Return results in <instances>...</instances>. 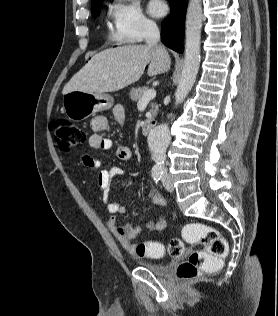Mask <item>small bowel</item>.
Listing matches in <instances>:
<instances>
[{
	"label": "small bowel",
	"instance_id": "c3829d8e",
	"mask_svg": "<svg viewBox=\"0 0 278 316\" xmlns=\"http://www.w3.org/2000/svg\"><path fill=\"white\" fill-rule=\"evenodd\" d=\"M115 121L122 126L125 122V110L121 104H116L113 108ZM92 134L89 137L88 144L95 150H109L113 147L111 139L104 137L103 132L110 130L111 125L107 117L99 115L90 122ZM116 157L121 161H128L132 158V150L126 145H119L116 148ZM82 163L91 169L98 170L97 183L102 191V199L106 205L110 216L107 219V227L118 243L130 254H137V245L134 242L139 234L146 230L149 232H160L166 227L165 216H160L155 220H149L146 223H126L118 225L116 214H123L126 207L117 201L110 199V188L112 180L124 174L123 168L119 166L105 167L104 162L91 154L81 156ZM149 203L152 206L166 207V201L155 191L149 192Z\"/></svg>",
	"mask_w": 278,
	"mask_h": 316
}]
</instances>
